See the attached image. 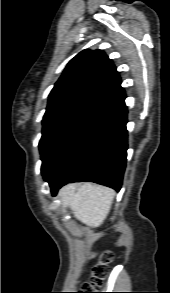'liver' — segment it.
I'll list each match as a JSON object with an SVG mask.
<instances>
[{
  "label": "liver",
  "instance_id": "1",
  "mask_svg": "<svg viewBox=\"0 0 170 293\" xmlns=\"http://www.w3.org/2000/svg\"><path fill=\"white\" fill-rule=\"evenodd\" d=\"M59 196L63 206L69 207L77 220L96 228L109 214L115 192L92 183L68 184L59 191Z\"/></svg>",
  "mask_w": 170,
  "mask_h": 293
}]
</instances>
